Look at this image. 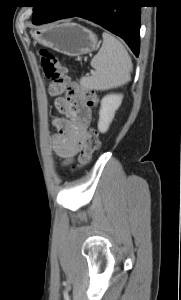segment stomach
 <instances>
[{
  "instance_id": "obj_1",
  "label": "stomach",
  "mask_w": 181,
  "mask_h": 300,
  "mask_svg": "<svg viewBox=\"0 0 181 300\" xmlns=\"http://www.w3.org/2000/svg\"><path fill=\"white\" fill-rule=\"evenodd\" d=\"M34 39L68 56H80L93 51L98 37L91 30L72 22L51 25L33 33Z\"/></svg>"
}]
</instances>
